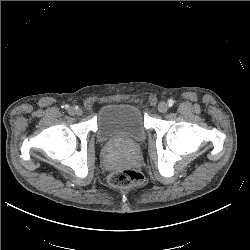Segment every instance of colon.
I'll return each mask as SVG.
<instances>
[{"instance_id": "1", "label": "colon", "mask_w": 250, "mask_h": 250, "mask_svg": "<svg viewBox=\"0 0 250 250\" xmlns=\"http://www.w3.org/2000/svg\"><path fill=\"white\" fill-rule=\"evenodd\" d=\"M108 180L112 187L128 189L141 185L143 183V175L136 170L123 169L112 172Z\"/></svg>"}]
</instances>
